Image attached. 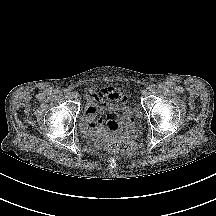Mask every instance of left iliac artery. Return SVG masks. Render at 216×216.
<instances>
[{"label": "left iliac artery", "mask_w": 216, "mask_h": 216, "mask_svg": "<svg viewBox=\"0 0 216 216\" xmlns=\"http://www.w3.org/2000/svg\"><path fill=\"white\" fill-rule=\"evenodd\" d=\"M155 85L154 84H152V85H150L149 87H148V89H149V91H153L154 89H155Z\"/></svg>", "instance_id": "1"}]
</instances>
